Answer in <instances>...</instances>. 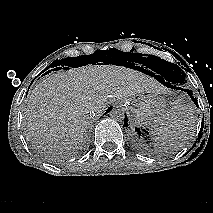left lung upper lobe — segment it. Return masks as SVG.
Returning <instances> with one entry per match:
<instances>
[{
  "label": "left lung upper lobe",
  "instance_id": "1",
  "mask_svg": "<svg viewBox=\"0 0 213 213\" xmlns=\"http://www.w3.org/2000/svg\"><path fill=\"white\" fill-rule=\"evenodd\" d=\"M146 59L151 62V68L167 75L174 84L183 85L186 83L185 73L178 65L167 62L157 56H150Z\"/></svg>",
  "mask_w": 213,
  "mask_h": 213
}]
</instances>
